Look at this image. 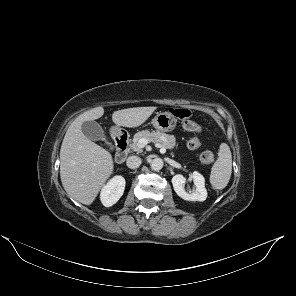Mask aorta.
<instances>
[{
  "mask_svg": "<svg viewBox=\"0 0 296 296\" xmlns=\"http://www.w3.org/2000/svg\"><path fill=\"white\" fill-rule=\"evenodd\" d=\"M163 164H164V162L161 158H155L151 161L150 166L153 170L159 171L162 169Z\"/></svg>",
  "mask_w": 296,
  "mask_h": 296,
  "instance_id": "1",
  "label": "aorta"
}]
</instances>
